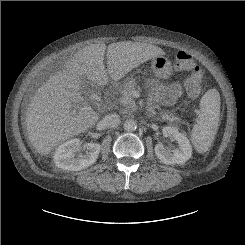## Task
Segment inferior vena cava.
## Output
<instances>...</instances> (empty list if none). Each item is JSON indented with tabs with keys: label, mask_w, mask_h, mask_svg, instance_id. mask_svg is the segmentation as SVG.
Wrapping results in <instances>:
<instances>
[{
	"label": "inferior vena cava",
	"mask_w": 245,
	"mask_h": 245,
	"mask_svg": "<svg viewBox=\"0 0 245 245\" xmlns=\"http://www.w3.org/2000/svg\"><path fill=\"white\" fill-rule=\"evenodd\" d=\"M104 121L109 128H116L120 124V116L118 114H109L106 115Z\"/></svg>",
	"instance_id": "inferior-vena-cava-1"
}]
</instances>
